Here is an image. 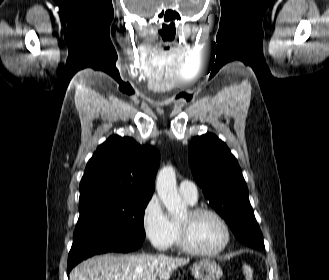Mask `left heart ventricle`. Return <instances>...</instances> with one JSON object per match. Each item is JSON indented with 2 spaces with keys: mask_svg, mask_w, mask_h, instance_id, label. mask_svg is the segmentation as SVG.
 Masks as SVG:
<instances>
[{
  "mask_svg": "<svg viewBox=\"0 0 329 280\" xmlns=\"http://www.w3.org/2000/svg\"><path fill=\"white\" fill-rule=\"evenodd\" d=\"M187 222L192 243L199 249L213 251L220 247L224 241V230L221 224L210 215H201L189 220L188 213L179 219Z\"/></svg>",
  "mask_w": 329,
  "mask_h": 280,
  "instance_id": "left-heart-ventricle-1",
  "label": "left heart ventricle"
}]
</instances>
